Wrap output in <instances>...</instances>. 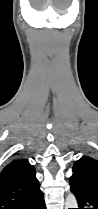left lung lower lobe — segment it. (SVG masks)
<instances>
[{"instance_id": "1", "label": "left lung lower lobe", "mask_w": 98, "mask_h": 209, "mask_svg": "<svg viewBox=\"0 0 98 209\" xmlns=\"http://www.w3.org/2000/svg\"><path fill=\"white\" fill-rule=\"evenodd\" d=\"M71 192L75 195L78 209H98V198L91 194L81 192L71 187Z\"/></svg>"}]
</instances>
